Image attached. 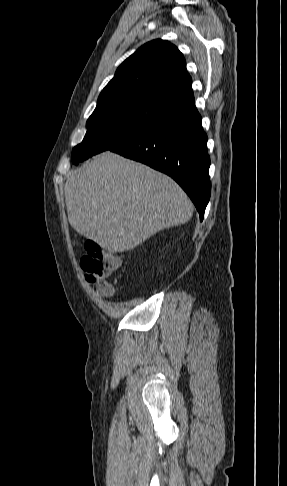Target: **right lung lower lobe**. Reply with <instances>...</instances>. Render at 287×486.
Returning <instances> with one entry per match:
<instances>
[{
	"label": "right lung lower lobe",
	"mask_w": 287,
	"mask_h": 486,
	"mask_svg": "<svg viewBox=\"0 0 287 486\" xmlns=\"http://www.w3.org/2000/svg\"><path fill=\"white\" fill-rule=\"evenodd\" d=\"M111 151L171 176L191 198L203 220L211 194L210 158L195 101L169 111L140 135Z\"/></svg>",
	"instance_id": "98d812e1"
}]
</instances>
